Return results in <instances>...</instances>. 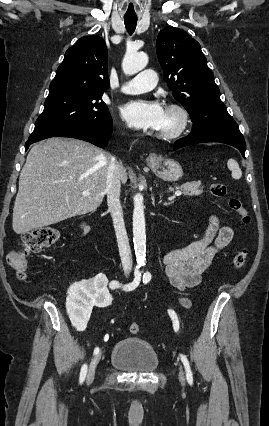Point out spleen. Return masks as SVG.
<instances>
[{"label": "spleen", "instance_id": "obj_1", "mask_svg": "<svg viewBox=\"0 0 269 426\" xmlns=\"http://www.w3.org/2000/svg\"><path fill=\"white\" fill-rule=\"evenodd\" d=\"M227 166L231 171V175L234 179L238 180L242 177V171L239 168L238 163L234 159H229Z\"/></svg>", "mask_w": 269, "mask_h": 426}]
</instances>
